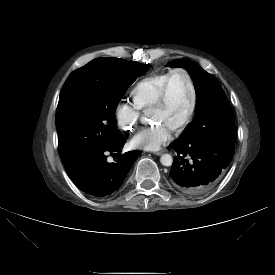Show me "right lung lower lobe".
<instances>
[{
    "label": "right lung lower lobe",
    "instance_id": "obj_1",
    "mask_svg": "<svg viewBox=\"0 0 275 275\" xmlns=\"http://www.w3.org/2000/svg\"><path fill=\"white\" fill-rule=\"evenodd\" d=\"M125 139L117 138L107 147L71 156L64 160L66 170L74 183L85 193L103 197L119 189L140 151H130L117 158L115 163L107 162L106 155L120 153Z\"/></svg>",
    "mask_w": 275,
    "mask_h": 275
}]
</instances>
